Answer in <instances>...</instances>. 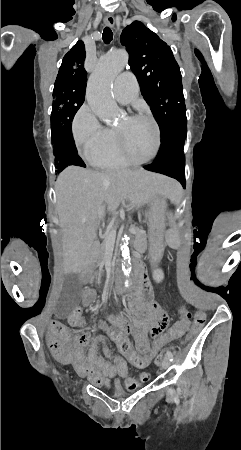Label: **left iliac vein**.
Returning a JSON list of instances; mask_svg holds the SVG:
<instances>
[{
  "mask_svg": "<svg viewBox=\"0 0 241 450\" xmlns=\"http://www.w3.org/2000/svg\"><path fill=\"white\" fill-rule=\"evenodd\" d=\"M169 366H170L169 358H168V357H165V358L163 359V362H162V368H163V370H167V369L169 368ZM168 394L173 395V394H174V390H173V389H168Z\"/></svg>",
  "mask_w": 241,
  "mask_h": 450,
  "instance_id": "left-iliac-vein-1",
  "label": "left iliac vein"
}]
</instances>
